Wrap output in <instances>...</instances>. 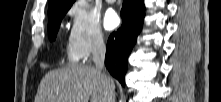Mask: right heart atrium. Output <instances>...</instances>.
I'll list each match as a JSON object with an SVG mask.
<instances>
[{"label":"right heart atrium","mask_w":221,"mask_h":102,"mask_svg":"<svg viewBox=\"0 0 221 102\" xmlns=\"http://www.w3.org/2000/svg\"><path fill=\"white\" fill-rule=\"evenodd\" d=\"M70 45L74 54L85 59L104 45V35L98 18L81 5L71 11Z\"/></svg>","instance_id":"d8ad5b80"}]
</instances>
